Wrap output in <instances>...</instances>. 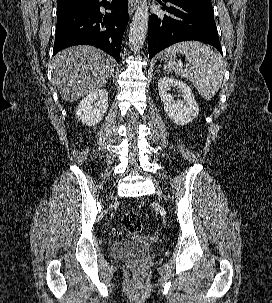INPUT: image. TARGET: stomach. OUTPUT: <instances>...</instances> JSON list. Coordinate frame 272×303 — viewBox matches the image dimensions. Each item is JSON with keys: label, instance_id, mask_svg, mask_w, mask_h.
<instances>
[{"label": "stomach", "instance_id": "0dacf381", "mask_svg": "<svg viewBox=\"0 0 272 303\" xmlns=\"http://www.w3.org/2000/svg\"><path fill=\"white\" fill-rule=\"evenodd\" d=\"M172 57H173V55H172ZM161 58L164 59V60H167V59H169V56L162 53Z\"/></svg>", "mask_w": 272, "mask_h": 303}]
</instances>
